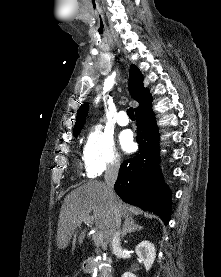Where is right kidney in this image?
I'll list each match as a JSON object with an SVG mask.
<instances>
[{"instance_id":"right-kidney-1","label":"right kidney","mask_w":221,"mask_h":277,"mask_svg":"<svg viewBox=\"0 0 221 277\" xmlns=\"http://www.w3.org/2000/svg\"><path fill=\"white\" fill-rule=\"evenodd\" d=\"M135 252L139 258V261L144 264L146 271H149L156 258L155 246L149 241L144 240L136 246ZM121 277H136V276L131 272H125Z\"/></svg>"}]
</instances>
